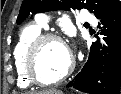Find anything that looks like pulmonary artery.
<instances>
[{
  "instance_id": "obj_1",
  "label": "pulmonary artery",
  "mask_w": 121,
  "mask_h": 94,
  "mask_svg": "<svg viewBox=\"0 0 121 94\" xmlns=\"http://www.w3.org/2000/svg\"><path fill=\"white\" fill-rule=\"evenodd\" d=\"M82 19L94 25L96 24L95 18L91 14H88V12H85V14L82 16ZM38 21L42 26L47 27L48 18L45 14H40L38 16Z\"/></svg>"
}]
</instances>
